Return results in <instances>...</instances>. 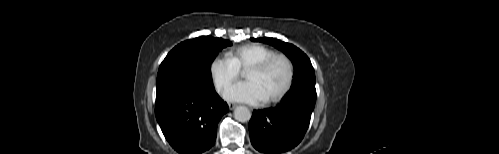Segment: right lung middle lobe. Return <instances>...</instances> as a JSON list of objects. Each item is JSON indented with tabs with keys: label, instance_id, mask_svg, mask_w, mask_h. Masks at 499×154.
Segmentation results:
<instances>
[{
	"label": "right lung middle lobe",
	"instance_id": "dd1d6c3e",
	"mask_svg": "<svg viewBox=\"0 0 499 154\" xmlns=\"http://www.w3.org/2000/svg\"><path fill=\"white\" fill-rule=\"evenodd\" d=\"M228 40L203 36L190 39L173 48L159 67L157 91L178 85L208 89L213 87L211 63Z\"/></svg>",
	"mask_w": 499,
	"mask_h": 154
}]
</instances>
